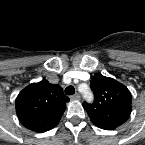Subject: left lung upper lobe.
Instances as JSON below:
<instances>
[{
	"instance_id": "1",
	"label": "left lung upper lobe",
	"mask_w": 145,
	"mask_h": 145,
	"mask_svg": "<svg viewBox=\"0 0 145 145\" xmlns=\"http://www.w3.org/2000/svg\"><path fill=\"white\" fill-rule=\"evenodd\" d=\"M90 86L95 101L92 104L83 102L82 105L95 126L113 130L128 120L132 96L126 86L101 74L92 77Z\"/></svg>"
}]
</instances>
